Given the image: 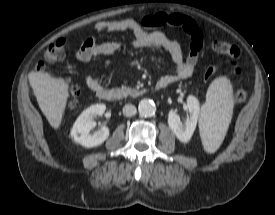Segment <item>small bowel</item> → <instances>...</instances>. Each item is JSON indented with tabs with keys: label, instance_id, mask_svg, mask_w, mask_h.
I'll return each mask as SVG.
<instances>
[{
	"label": "small bowel",
	"instance_id": "obj_1",
	"mask_svg": "<svg viewBox=\"0 0 275 215\" xmlns=\"http://www.w3.org/2000/svg\"><path fill=\"white\" fill-rule=\"evenodd\" d=\"M165 14H151L144 16L140 22L133 19H122L115 21H103L95 24L93 32L95 34L103 32L131 31L134 35L132 41L133 48H158L166 51L175 64V73L163 76L169 83L177 80L189 78L197 65L199 54L203 47L202 35L197 28L195 34L191 35L190 52L184 58L179 44L160 31H152L154 28L166 25ZM122 44L117 41L98 43L95 36L89 38L76 52L80 61L88 62L95 57L110 55L120 51ZM86 86L98 92L104 86L90 73L85 75Z\"/></svg>",
	"mask_w": 275,
	"mask_h": 215
}]
</instances>
